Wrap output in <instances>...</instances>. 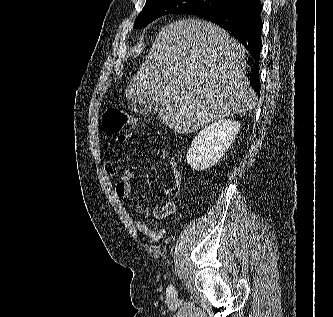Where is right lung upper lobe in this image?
Segmentation results:
<instances>
[{
    "label": "right lung upper lobe",
    "mask_w": 333,
    "mask_h": 317,
    "mask_svg": "<svg viewBox=\"0 0 333 317\" xmlns=\"http://www.w3.org/2000/svg\"><path fill=\"white\" fill-rule=\"evenodd\" d=\"M227 2L234 1V0H226Z\"/></svg>",
    "instance_id": "obj_1"
}]
</instances>
